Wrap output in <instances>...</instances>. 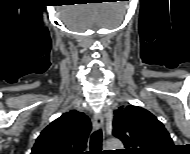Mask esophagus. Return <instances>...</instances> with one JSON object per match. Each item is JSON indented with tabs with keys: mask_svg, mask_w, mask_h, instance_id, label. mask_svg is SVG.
Listing matches in <instances>:
<instances>
[{
	"mask_svg": "<svg viewBox=\"0 0 190 154\" xmlns=\"http://www.w3.org/2000/svg\"><path fill=\"white\" fill-rule=\"evenodd\" d=\"M93 126L95 129H103L104 127V118L102 114H95L93 116Z\"/></svg>",
	"mask_w": 190,
	"mask_h": 154,
	"instance_id": "34e87169",
	"label": "esophagus"
}]
</instances>
